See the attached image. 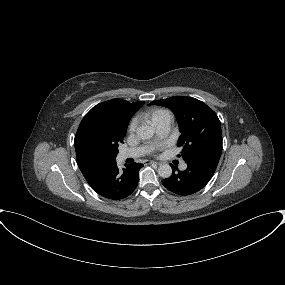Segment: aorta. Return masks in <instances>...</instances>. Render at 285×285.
<instances>
[{
	"instance_id": "aorta-1",
	"label": "aorta",
	"mask_w": 285,
	"mask_h": 285,
	"mask_svg": "<svg viewBox=\"0 0 285 285\" xmlns=\"http://www.w3.org/2000/svg\"><path fill=\"white\" fill-rule=\"evenodd\" d=\"M155 133L154 127L150 125H141L137 128V135L142 140H148L153 137ZM158 174L162 178H169L172 175V168L169 164H161L158 168Z\"/></svg>"
}]
</instances>
